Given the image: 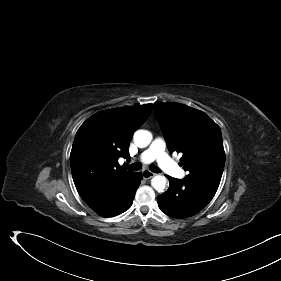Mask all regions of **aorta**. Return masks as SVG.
I'll return each instance as SVG.
<instances>
[{
  "label": "aorta",
  "instance_id": "762f6f07",
  "mask_svg": "<svg viewBox=\"0 0 281 281\" xmlns=\"http://www.w3.org/2000/svg\"><path fill=\"white\" fill-rule=\"evenodd\" d=\"M133 138L135 144L138 147L145 148L151 143L153 137L151 132L141 129V130H137L134 133ZM151 185L157 192H164L167 185V179L165 176L156 175L152 178Z\"/></svg>",
  "mask_w": 281,
  "mask_h": 281
}]
</instances>
